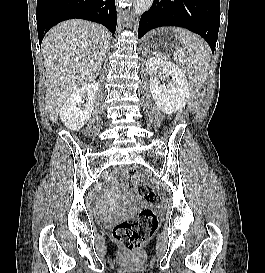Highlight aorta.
I'll return each instance as SVG.
<instances>
[{"instance_id": "762f6f07", "label": "aorta", "mask_w": 265, "mask_h": 273, "mask_svg": "<svg viewBox=\"0 0 265 273\" xmlns=\"http://www.w3.org/2000/svg\"><path fill=\"white\" fill-rule=\"evenodd\" d=\"M154 0H136V4L131 13L132 16L141 15L148 11L152 6Z\"/></svg>"}]
</instances>
